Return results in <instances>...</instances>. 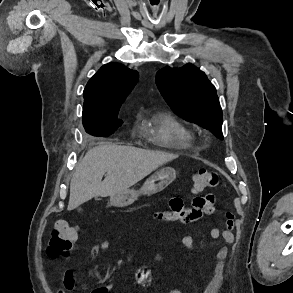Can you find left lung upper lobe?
<instances>
[{"mask_svg":"<svg viewBox=\"0 0 293 293\" xmlns=\"http://www.w3.org/2000/svg\"><path fill=\"white\" fill-rule=\"evenodd\" d=\"M155 81L176 114L223 139L221 106L216 89L204 72L190 63L178 69L165 67L157 73Z\"/></svg>","mask_w":293,"mask_h":293,"instance_id":"left-lung-upper-lobe-1","label":"left lung upper lobe"}]
</instances>
